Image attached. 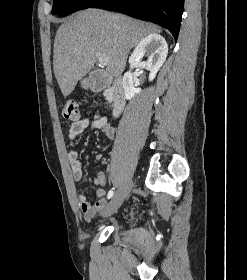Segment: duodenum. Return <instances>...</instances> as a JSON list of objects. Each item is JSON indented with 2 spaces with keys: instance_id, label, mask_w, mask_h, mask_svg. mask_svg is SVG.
<instances>
[{
  "instance_id": "410a0bca",
  "label": "duodenum",
  "mask_w": 247,
  "mask_h": 280,
  "mask_svg": "<svg viewBox=\"0 0 247 280\" xmlns=\"http://www.w3.org/2000/svg\"><path fill=\"white\" fill-rule=\"evenodd\" d=\"M89 86L93 91H101L108 87L113 114L118 116L123 111L126 104V95L122 78H111L104 72L96 71L90 79Z\"/></svg>"
}]
</instances>
